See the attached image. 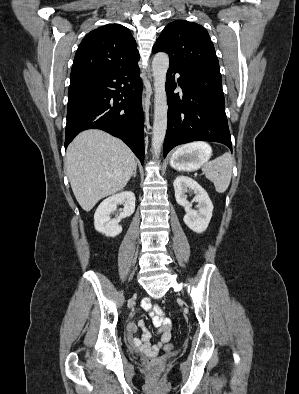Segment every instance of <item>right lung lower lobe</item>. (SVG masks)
<instances>
[{"label":"right lung lower lobe","mask_w":299,"mask_h":394,"mask_svg":"<svg viewBox=\"0 0 299 394\" xmlns=\"http://www.w3.org/2000/svg\"><path fill=\"white\" fill-rule=\"evenodd\" d=\"M142 81L138 64L71 78L65 148L86 129H101L122 139L144 162Z\"/></svg>","instance_id":"1"}]
</instances>
